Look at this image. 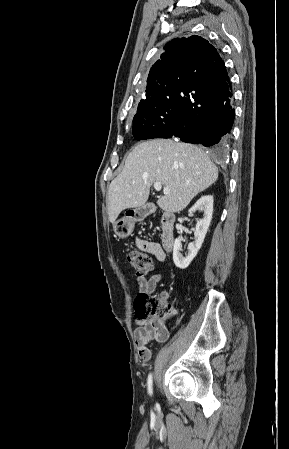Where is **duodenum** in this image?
<instances>
[{"label": "duodenum", "mask_w": 289, "mask_h": 449, "mask_svg": "<svg viewBox=\"0 0 289 449\" xmlns=\"http://www.w3.org/2000/svg\"><path fill=\"white\" fill-rule=\"evenodd\" d=\"M147 212H152V208H148ZM174 226L175 215L171 212L165 211L161 215V244L166 251L172 249L174 243Z\"/></svg>", "instance_id": "duodenum-1"}]
</instances>
